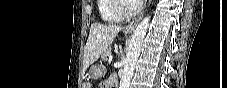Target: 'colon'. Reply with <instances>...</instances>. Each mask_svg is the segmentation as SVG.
Returning a JSON list of instances; mask_svg holds the SVG:
<instances>
[{
  "label": "colon",
  "mask_w": 227,
  "mask_h": 88,
  "mask_svg": "<svg viewBox=\"0 0 227 88\" xmlns=\"http://www.w3.org/2000/svg\"><path fill=\"white\" fill-rule=\"evenodd\" d=\"M85 87H90L89 85H86Z\"/></svg>",
  "instance_id": "1"
}]
</instances>
